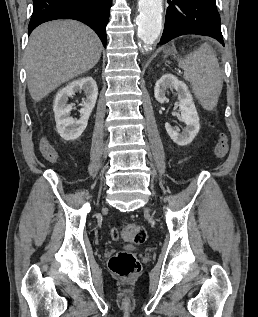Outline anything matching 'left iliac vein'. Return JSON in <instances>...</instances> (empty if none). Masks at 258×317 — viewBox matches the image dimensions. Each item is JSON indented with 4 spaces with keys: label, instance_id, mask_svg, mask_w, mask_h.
Listing matches in <instances>:
<instances>
[{
    "label": "left iliac vein",
    "instance_id": "1",
    "mask_svg": "<svg viewBox=\"0 0 258 317\" xmlns=\"http://www.w3.org/2000/svg\"><path fill=\"white\" fill-rule=\"evenodd\" d=\"M144 212H149V207H144Z\"/></svg>",
    "mask_w": 258,
    "mask_h": 317
}]
</instances>
